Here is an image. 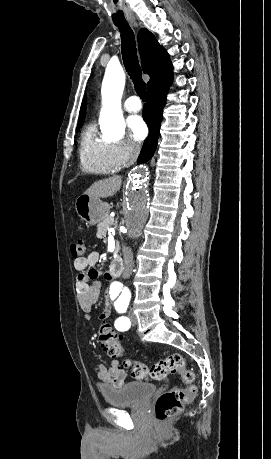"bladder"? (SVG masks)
<instances>
[{
  "label": "bladder",
  "mask_w": 271,
  "mask_h": 459,
  "mask_svg": "<svg viewBox=\"0 0 271 459\" xmlns=\"http://www.w3.org/2000/svg\"><path fill=\"white\" fill-rule=\"evenodd\" d=\"M153 391H155L153 383L137 381L126 383L119 389L103 390L102 395L109 405H141L144 400L150 398Z\"/></svg>",
  "instance_id": "obj_1"
}]
</instances>
